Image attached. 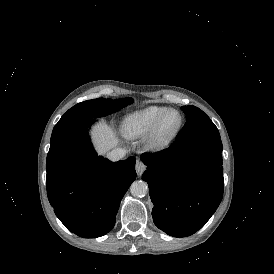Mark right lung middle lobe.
<instances>
[{"instance_id": "right-lung-middle-lobe-1", "label": "right lung middle lobe", "mask_w": 274, "mask_h": 274, "mask_svg": "<svg viewBox=\"0 0 274 274\" xmlns=\"http://www.w3.org/2000/svg\"><path fill=\"white\" fill-rule=\"evenodd\" d=\"M132 98L87 100L70 108L55 125L50 144L55 143L82 124L95 118L114 113L121 108L132 104Z\"/></svg>"}]
</instances>
